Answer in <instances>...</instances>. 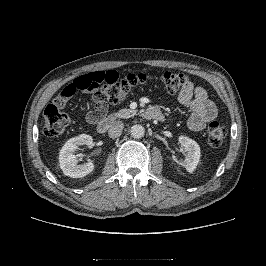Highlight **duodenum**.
Segmentation results:
<instances>
[{"mask_svg": "<svg viewBox=\"0 0 266 266\" xmlns=\"http://www.w3.org/2000/svg\"><path fill=\"white\" fill-rule=\"evenodd\" d=\"M142 116L148 120H158L161 121L164 119L163 114L160 110L155 108H147L142 111ZM89 120L97 128V131L101 134L106 133L111 126L114 124L116 117L115 116H104L98 110H92L88 114Z\"/></svg>", "mask_w": 266, "mask_h": 266, "instance_id": "duodenum-1", "label": "duodenum"}]
</instances>
